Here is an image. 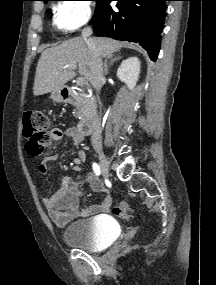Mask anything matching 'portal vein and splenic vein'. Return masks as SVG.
Here are the masks:
<instances>
[{
    "label": "portal vein and splenic vein",
    "instance_id": "portal-vein-and-splenic-vein-1",
    "mask_svg": "<svg viewBox=\"0 0 216 285\" xmlns=\"http://www.w3.org/2000/svg\"><path fill=\"white\" fill-rule=\"evenodd\" d=\"M65 68L76 69L77 66L70 64V65H67ZM76 83L78 86H83L85 84V78L84 77H78Z\"/></svg>",
    "mask_w": 216,
    "mask_h": 285
}]
</instances>
